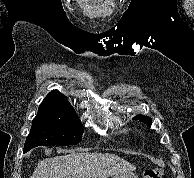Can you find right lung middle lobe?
<instances>
[{
	"instance_id": "dd1d6c3e",
	"label": "right lung middle lobe",
	"mask_w": 194,
	"mask_h": 178,
	"mask_svg": "<svg viewBox=\"0 0 194 178\" xmlns=\"http://www.w3.org/2000/svg\"><path fill=\"white\" fill-rule=\"evenodd\" d=\"M83 131L75 113L40 106L26 138L24 152L41 145L66 146L79 143Z\"/></svg>"
}]
</instances>
